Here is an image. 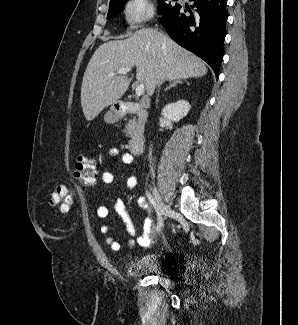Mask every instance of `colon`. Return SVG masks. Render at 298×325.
I'll list each match as a JSON object with an SVG mask.
<instances>
[{
	"mask_svg": "<svg viewBox=\"0 0 298 325\" xmlns=\"http://www.w3.org/2000/svg\"><path fill=\"white\" fill-rule=\"evenodd\" d=\"M73 177L82 186H93L97 177L95 161L85 155L78 156ZM71 201L70 191L67 187H58L48 197L49 205L57 207L62 213L68 211Z\"/></svg>",
	"mask_w": 298,
	"mask_h": 325,
	"instance_id": "5ec220e1",
	"label": "colon"
}]
</instances>
